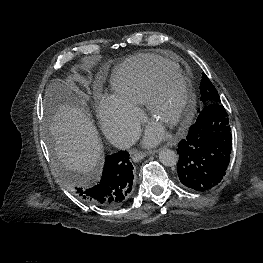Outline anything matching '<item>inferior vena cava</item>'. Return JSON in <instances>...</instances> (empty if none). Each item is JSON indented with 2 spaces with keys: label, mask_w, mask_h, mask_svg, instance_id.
Listing matches in <instances>:
<instances>
[{
  "label": "inferior vena cava",
  "mask_w": 263,
  "mask_h": 263,
  "mask_svg": "<svg viewBox=\"0 0 263 263\" xmlns=\"http://www.w3.org/2000/svg\"><path fill=\"white\" fill-rule=\"evenodd\" d=\"M136 140V137L125 125L115 126L112 130V143L118 148H130L136 143Z\"/></svg>",
  "instance_id": "602c4592"
}]
</instances>
